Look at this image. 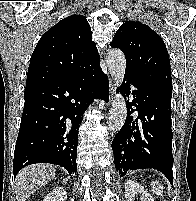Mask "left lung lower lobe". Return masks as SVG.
Wrapping results in <instances>:
<instances>
[{
	"instance_id": "left-lung-lower-lobe-1",
	"label": "left lung lower lobe",
	"mask_w": 196,
	"mask_h": 201,
	"mask_svg": "<svg viewBox=\"0 0 196 201\" xmlns=\"http://www.w3.org/2000/svg\"><path fill=\"white\" fill-rule=\"evenodd\" d=\"M133 100L127 101V118L112 141L115 168L120 177L129 170L154 168L162 172L173 184V156L171 130L172 93L125 73L122 92ZM136 107L138 117L132 114Z\"/></svg>"
}]
</instances>
